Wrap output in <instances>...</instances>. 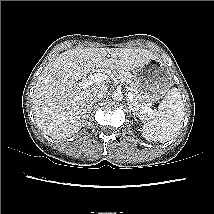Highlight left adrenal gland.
<instances>
[{"label":"left adrenal gland","instance_id":"left-adrenal-gland-1","mask_svg":"<svg viewBox=\"0 0 214 214\" xmlns=\"http://www.w3.org/2000/svg\"><path fill=\"white\" fill-rule=\"evenodd\" d=\"M128 106H129V112H130V114H131V106H130V104H129V102H128Z\"/></svg>","mask_w":214,"mask_h":214}]
</instances>
